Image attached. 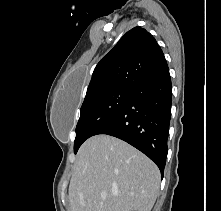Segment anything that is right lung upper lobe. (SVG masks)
<instances>
[{"label": "right lung upper lobe", "instance_id": "right-lung-upper-lobe-1", "mask_svg": "<svg viewBox=\"0 0 221 211\" xmlns=\"http://www.w3.org/2000/svg\"><path fill=\"white\" fill-rule=\"evenodd\" d=\"M168 71L154 37L145 29L134 27L97 64L85 100L113 89L133 88Z\"/></svg>", "mask_w": 221, "mask_h": 211}]
</instances>
